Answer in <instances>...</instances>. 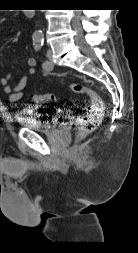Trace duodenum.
Returning <instances> with one entry per match:
<instances>
[{
    "instance_id": "410a0bca",
    "label": "duodenum",
    "mask_w": 138,
    "mask_h": 253,
    "mask_svg": "<svg viewBox=\"0 0 138 253\" xmlns=\"http://www.w3.org/2000/svg\"><path fill=\"white\" fill-rule=\"evenodd\" d=\"M35 12L33 10H29L26 12L27 17L32 18L34 16Z\"/></svg>"
}]
</instances>
